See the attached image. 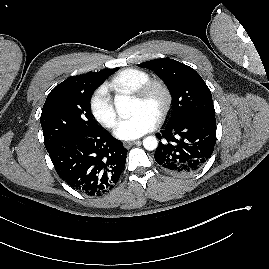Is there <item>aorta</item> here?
I'll return each mask as SVG.
<instances>
[{
  "mask_svg": "<svg viewBox=\"0 0 269 269\" xmlns=\"http://www.w3.org/2000/svg\"><path fill=\"white\" fill-rule=\"evenodd\" d=\"M117 113L122 118H128L132 112L133 99L130 96L119 95L114 99ZM143 146L146 150H155L158 146L157 138L154 136H148L143 140Z\"/></svg>",
  "mask_w": 269,
  "mask_h": 269,
  "instance_id": "obj_1",
  "label": "aorta"
}]
</instances>
